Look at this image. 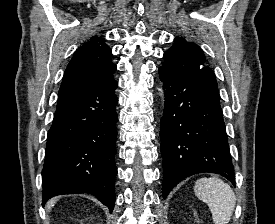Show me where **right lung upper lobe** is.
Segmentation results:
<instances>
[{"instance_id": "obj_1", "label": "right lung upper lobe", "mask_w": 275, "mask_h": 224, "mask_svg": "<svg viewBox=\"0 0 275 224\" xmlns=\"http://www.w3.org/2000/svg\"><path fill=\"white\" fill-rule=\"evenodd\" d=\"M111 56V49L104 43V39L93 36L75 51L65 71L59 96L111 82L116 70Z\"/></svg>"}]
</instances>
